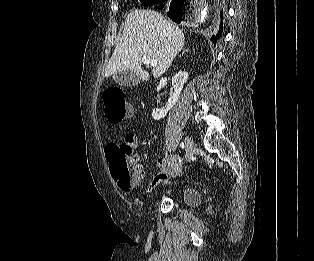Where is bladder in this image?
Here are the masks:
<instances>
[{
  "label": "bladder",
  "instance_id": "1",
  "mask_svg": "<svg viewBox=\"0 0 314 261\" xmlns=\"http://www.w3.org/2000/svg\"><path fill=\"white\" fill-rule=\"evenodd\" d=\"M181 198L190 206H197L201 201L199 192L192 187L184 188L181 193Z\"/></svg>",
  "mask_w": 314,
  "mask_h": 261
}]
</instances>
